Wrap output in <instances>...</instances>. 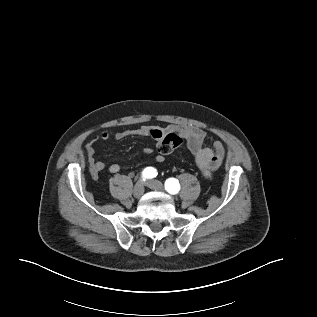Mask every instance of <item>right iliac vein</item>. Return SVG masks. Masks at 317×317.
Returning a JSON list of instances; mask_svg holds the SVG:
<instances>
[{
  "label": "right iliac vein",
  "instance_id": "right-iliac-vein-1",
  "mask_svg": "<svg viewBox=\"0 0 317 317\" xmlns=\"http://www.w3.org/2000/svg\"><path fill=\"white\" fill-rule=\"evenodd\" d=\"M133 194L136 198H140L144 194V184L142 182H138L135 185Z\"/></svg>",
  "mask_w": 317,
  "mask_h": 317
}]
</instances>
